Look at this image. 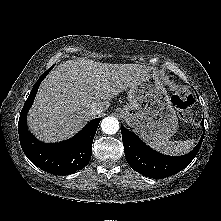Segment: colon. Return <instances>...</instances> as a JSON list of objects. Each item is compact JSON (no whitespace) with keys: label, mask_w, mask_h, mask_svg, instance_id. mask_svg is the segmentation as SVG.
<instances>
[{"label":"colon","mask_w":221,"mask_h":221,"mask_svg":"<svg viewBox=\"0 0 221 221\" xmlns=\"http://www.w3.org/2000/svg\"><path fill=\"white\" fill-rule=\"evenodd\" d=\"M172 103L183 121L189 122L192 119L193 95L189 90L183 89L175 93Z\"/></svg>","instance_id":"1"}]
</instances>
